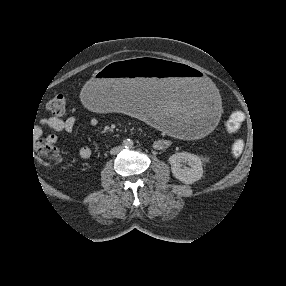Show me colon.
<instances>
[{"label": "colon", "instance_id": "colon-1", "mask_svg": "<svg viewBox=\"0 0 286 286\" xmlns=\"http://www.w3.org/2000/svg\"><path fill=\"white\" fill-rule=\"evenodd\" d=\"M66 97L62 94L56 95L47 102V109L54 115H62L66 110ZM245 120V115L242 111H234L227 123L226 132L228 135L236 134L243 122ZM244 148V144L241 140H236L231 148L234 155H239ZM34 150L37 159L44 165H50L59 159V151L56 146L49 139L40 138L35 141Z\"/></svg>", "mask_w": 286, "mask_h": 286}]
</instances>
